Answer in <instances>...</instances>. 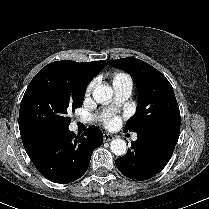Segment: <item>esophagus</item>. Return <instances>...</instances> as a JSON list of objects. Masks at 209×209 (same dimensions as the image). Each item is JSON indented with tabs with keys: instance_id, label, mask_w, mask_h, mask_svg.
<instances>
[{
	"instance_id": "obj_1",
	"label": "esophagus",
	"mask_w": 209,
	"mask_h": 209,
	"mask_svg": "<svg viewBox=\"0 0 209 209\" xmlns=\"http://www.w3.org/2000/svg\"><path fill=\"white\" fill-rule=\"evenodd\" d=\"M113 139H114V136L111 135V134H104V136H103L104 142H109V141H111Z\"/></svg>"
}]
</instances>
